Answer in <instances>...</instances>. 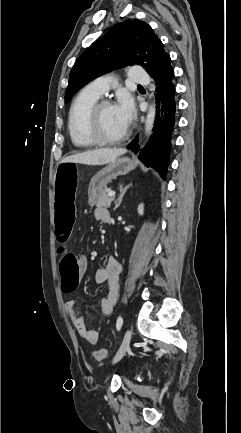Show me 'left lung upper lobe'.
Instances as JSON below:
<instances>
[{
  "label": "left lung upper lobe",
  "instance_id": "obj_1",
  "mask_svg": "<svg viewBox=\"0 0 241 433\" xmlns=\"http://www.w3.org/2000/svg\"><path fill=\"white\" fill-rule=\"evenodd\" d=\"M131 64L143 66L153 79L171 66L161 40L148 24L137 19L113 26L79 56L69 76L65 100L89 81Z\"/></svg>",
  "mask_w": 241,
  "mask_h": 433
}]
</instances>
